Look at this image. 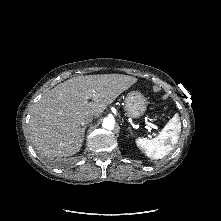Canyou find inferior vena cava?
<instances>
[{"label":"inferior vena cava","instance_id":"inferior-vena-cava-1","mask_svg":"<svg viewBox=\"0 0 221 221\" xmlns=\"http://www.w3.org/2000/svg\"><path fill=\"white\" fill-rule=\"evenodd\" d=\"M92 120H93V115L87 114L86 116H83L81 118L80 123H81V125H86V124H89L90 122H92Z\"/></svg>","mask_w":221,"mask_h":221}]
</instances>
